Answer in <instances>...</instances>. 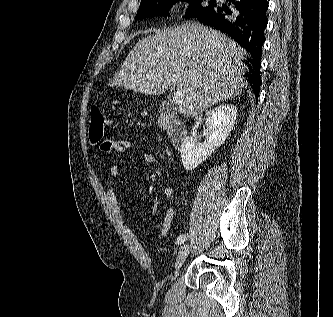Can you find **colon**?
<instances>
[{
    "label": "colon",
    "mask_w": 333,
    "mask_h": 317,
    "mask_svg": "<svg viewBox=\"0 0 333 317\" xmlns=\"http://www.w3.org/2000/svg\"><path fill=\"white\" fill-rule=\"evenodd\" d=\"M111 123V120L105 115L104 111L99 106L91 108V123L89 137L94 145H98L104 134V129Z\"/></svg>",
    "instance_id": "1"
}]
</instances>
